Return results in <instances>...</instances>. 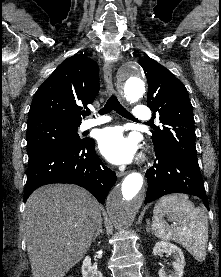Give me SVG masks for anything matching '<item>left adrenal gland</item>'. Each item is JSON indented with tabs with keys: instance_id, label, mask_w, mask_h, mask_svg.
I'll return each mask as SVG.
<instances>
[{
	"instance_id": "obj_1",
	"label": "left adrenal gland",
	"mask_w": 221,
	"mask_h": 277,
	"mask_svg": "<svg viewBox=\"0 0 221 277\" xmlns=\"http://www.w3.org/2000/svg\"><path fill=\"white\" fill-rule=\"evenodd\" d=\"M146 232H147V233L152 232V229L150 228V220H147Z\"/></svg>"
}]
</instances>
